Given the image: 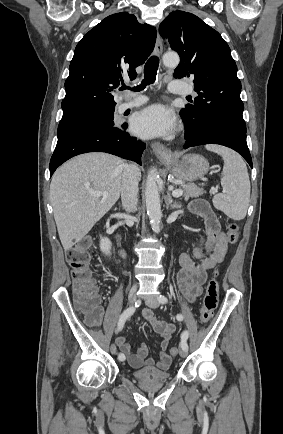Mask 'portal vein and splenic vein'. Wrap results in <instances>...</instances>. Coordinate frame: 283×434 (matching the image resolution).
I'll return each instance as SVG.
<instances>
[{
	"instance_id": "obj_1",
	"label": "portal vein and splenic vein",
	"mask_w": 283,
	"mask_h": 434,
	"mask_svg": "<svg viewBox=\"0 0 283 434\" xmlns=\"http://www.w3.org/2000/svg\"><path fill=\"white\" fill-rule=\"evenodd\" d=\"M90 194L92 196H96V197L102 196L104 199L108 197V193L107 192L90 191ZM182 194H183L182 190H173L172 191L173 197H180V196H182Z\"/></svg>"
}]
</instances>
